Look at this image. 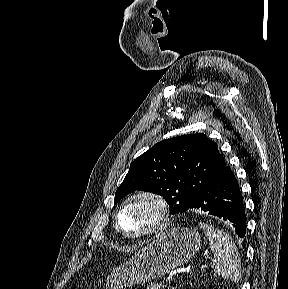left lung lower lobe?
I'll use <instances>...</instances> for the list:
<instances>
[{
	"label": "left lung lower lobe",
	"mask_w": 288,
	"mask_h": 289,
	"mask_svg": "<svg viewBox=\"0 0 288 289\" xmlns=\"http://www.w3.org/2000/svg\"><path fill=\"white\" fill-rule=\"evenodd\" d=\"M189 209H201L228 220L240 237L246 233V216L238 181L225 165L219 174L195 197ZM186 210V211H187Z\"/></svg>",
	"instance_id": "0a47b994"
}]
</instances>
